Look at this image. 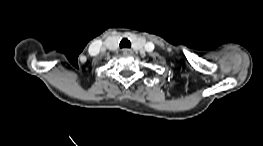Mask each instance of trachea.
<instances>
[{"mask_svg": "<svg viewBox=\"0 0 263 146\" xmlns=\"http://www.w3.org/2000/svg\"><path fill=\"white\" fill-rule=\"evenodd\" d=\"M120 48H130L131 47V42L130 40H128L127 38H123L121 41H120Z\"/></svg>", "mask_w": 263, "mask_h": 146, "instance_id": "trachea-1", "label": "trachea"}]
</instances>
